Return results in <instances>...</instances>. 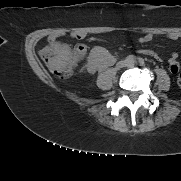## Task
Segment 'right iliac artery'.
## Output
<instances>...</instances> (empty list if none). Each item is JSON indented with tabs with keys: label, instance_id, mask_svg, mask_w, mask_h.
Here are the masks:
<instances>
[{
	"label": "right iliac artery",
	"instance_id": "1",
	"mask_svg": "<svg viewBox=\"0 0 181 181\" xmlns=\"http://www.w3.org/2000/svg\"><path fill=\"white\" fill-rule=\"evenodd\" d=\"M126 61L128 63H134V62H136V57L134 55H129L126 57Z\"/></svg>",
	"mask_w": 181,
	"mask_h": 181
}]
</instances>
